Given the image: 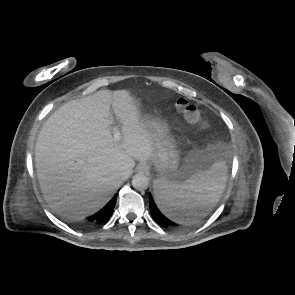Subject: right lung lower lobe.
<instances>
[{
  "instance_id": "obj_1",
  "label": "right lung lower lobe",
  "mask_w": 295,
  "mask_h": 295,
  "mask_svg": "<svg viewBox=\"0 0 295 295\" xmlns=\"http://www.w3.org/2000/svg\"><path fill=\"white\" fill-rule=\"evenodd\" d=\"M116 203V195L112 199V201L107 205L106 208L102 209L98 213L87 218L86 223L88 225H96L100 223L107 222L113 212L114 206Z\"/></svg>"
}]
</instances>
